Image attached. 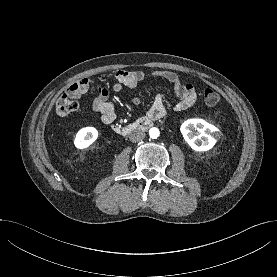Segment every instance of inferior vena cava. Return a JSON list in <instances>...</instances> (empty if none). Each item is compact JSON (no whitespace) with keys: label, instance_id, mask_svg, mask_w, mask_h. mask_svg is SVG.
Segmentation results:
<instances>
[{"label":"inferior vena cava","instance_id":"inferior-vena-cava-1","mask_svg":"<svg viewBox=\"0 0 277 277\" xmlns=\"http://www.w3.org/2000/svg\"><path fill=\"white\" fill-rule=\"evenodd\" d=\"M144 138H145V133L143 131H139V130L133 131L129 135V139L133 143L140 142Z\"/></svg>","mask_w":277,"mask_h":277}]
</instances>
